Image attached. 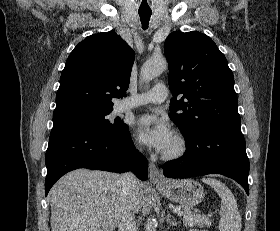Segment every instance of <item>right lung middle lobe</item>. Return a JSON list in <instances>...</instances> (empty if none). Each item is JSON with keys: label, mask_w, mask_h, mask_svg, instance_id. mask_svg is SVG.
Returning a JSON list of instances; mask_svg holds the SVG:
<instances>
[{"label": "right lung middle lobe", "mask_w": 280, "mask_h": 231, "mask_svg": "<svg viewBox=\"0 0 280 231\" xmlns=\"http://www.w3.org/2000/svg\"><path fill=\"white\" fill-rule=\"evenodd\" d=\"M109 113L110 112L101 115L55 123L53 124V128L81 127L100 133H118L127 127V125L124 124L123 122H119L115 124L110 123V121L106 119V116Z\"/></svg>", "instance_id": "right-lung-middle-lobe-1"}]
</instances>
